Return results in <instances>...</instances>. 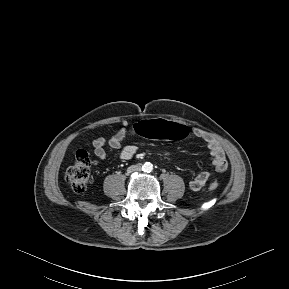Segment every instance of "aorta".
I'll list each match as a JSON object with an SVG mask.
<instances>
[{"label":"aorta","mask_w":289,"mask_h":289,"mask_svg":"<svg viewBox=\"0 0 289 289\" xmlns=\"http://www.w3.org/2000/svg\"><path fill=\"white\" fill-rule=\"evenodd\" d=\"M142 170H143L144 172H151V171L153 170V165H152V163H150V162L144 163L143 166H142Z\"/></svg>","instance_id":"762f6f07"}]
</instances>
